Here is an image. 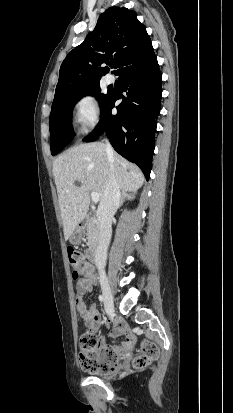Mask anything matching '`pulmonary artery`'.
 I'll use <instances>...</instances> for the list:
<instances>
[{
  "label": "pulmonary artery",
  "mask_w": 233,
  "mask_h": 413,
  "mask_svg": "<svg viewBox=\"0 0 233 413\" xmlns=\"http://www.w3.org/2000/svg\"><path fill=\"white\" fill-rule=\"evenodd\" d=\"M105 82H106V84H112V83H114V77H113L112 75L108 74V75L105 77Z\"/></svg>",
  "instance_id": "1"
}]
</instances>
